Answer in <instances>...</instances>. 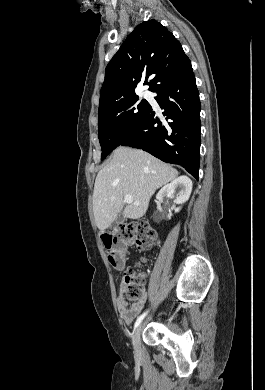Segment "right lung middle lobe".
Segmentation results:
<instances>
[{
    "instance_id": "1",
    "label": "right lung middle lobe",
    "mask_w": 265,
    "mask_h": 390,
    "mask_svg": "<svg viewBox=\"0 0 265 390\" xmlns=\"http://www.w3.org/2000/svg\"><path fill=\"white\" fill-rule=\"evenodd\" d=\"M149 109L150 104L135 95L98 112L101 160L120 145L144 119Z\"/></svg>"
}]
</instances>
